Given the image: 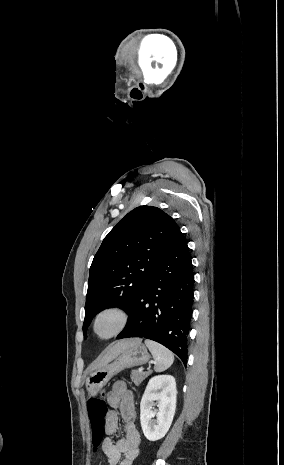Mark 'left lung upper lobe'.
<instances>
[{
  "mask_svg": "<svg viewBox=\"0 0 284 465\" xmlns=\"http://www.w3.org/2000/svg\"><path fill=\"white\" fill-rule=\"evenodd\" d=\"M179 233L172 217L152 206L137 207L116 224L90 267L83 330L107 307L120 306L129 311L141 287L175 245Z\"/></svg>",
  "mask_w": 284,
  "mask_h": 465,
  "instance_id": "5c2ea615",
  "label": "left lung upper lobe"
}]
</instances>
